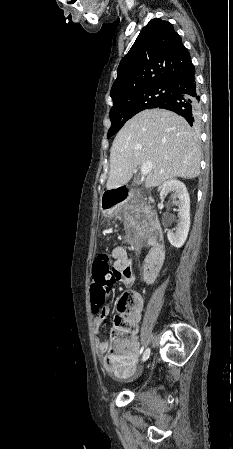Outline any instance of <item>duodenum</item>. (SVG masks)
<instances>
[{"label":"duodenum","instance_id":"1","mask_svg":"<svg viewBox=\"0 0 233 449\" xmlns=\"http://www.w3.org/2000/svg\"><path fill=\"white\" fill-rule=\"evenodd\" d=\"M127 202H143L149 200L143 193L136 192L132 186H110L109 191L103 192L102 206H125ZM144 229L147 233L150 250L146 257L143 272H155L157 276L164 259V244L161 227L156 215L148 212L144 217Z\"/></svg>","mask_w":233,"mask_h":449}]
</instances>
